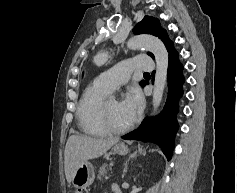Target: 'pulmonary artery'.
I'll list each match as a JSON object with an SVG mask.
<instances>
[{"label": "pulmonary artery", "instance_id": "e3ab8cb5", "mask_svg": "<svg viewBox=\"0 0 237 193\" xmlns=\"http://www.w3.org/2000/svg\"><path fill=\"white\" fill-rule=\"evenodd\" d=\"M140 70L151 72L154 70V63L151 57L141 56L124 60L117 64L113 69L101 73L96 81L109 89L115 90L121 85L125 84L132 71Z\"/></svg>", "mask_w": 237, "mask_h": 193}]
</instances>
